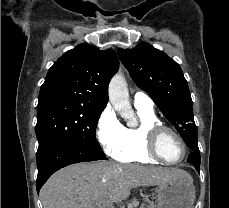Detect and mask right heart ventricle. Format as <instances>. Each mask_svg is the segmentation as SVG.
Here are the masks:
<instances>
[{"label":"right heart ventricle","instance_id":"1","mask_svg":"<svg viewBox=\"0 0 229 208\" xmlns=\"http://www.w3.org/2000/svg\"><path fill=\"white\" fill-rule=\"evenodd\" d=\"M140 123L136 126H123V144L118 147L113 156L123 162H140L159 164V158H151L147 153V144L150 143L147 129L155 124L161 123L154 110L136 108Z\"/></svg>","mask_w":229,"mask_h":208}]
</instances>
